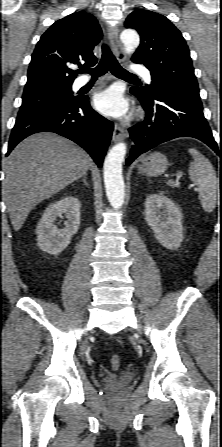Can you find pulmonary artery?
I'll list each match as a JSON object with an SVG mask.
<instances>
[{
	"label": "pulmonary artery",
	"instance_id": "e3ab8cb5",
	"mask_svg": "<svg viewBox=\"0 0 222 447\" xmlns=\"http://www.w3.org/2000/svg\"><path fill=\"white\" fill-rule=\"evenodd\" d=\"M132 70L134 73L144 76L146 81L151 82L150 72L144 66L136 64L132 67ZM89 82L90 79L88 77H81L74 82L73 87L74 89H79L88 84Z\"/></svg>",
	"mask_w": 222,
	"mask_h": 447
}]
</instances>
